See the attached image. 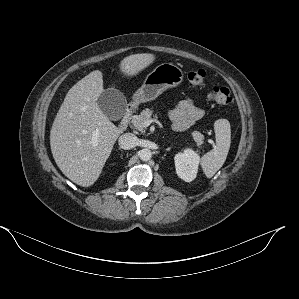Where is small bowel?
<instances>
[{"mask_svg": "<svg viewBox=\"0 0 299 299\" xmlns=\"http://www.w3.org/2000/svg\"><path fill=\"white\" fill-rule=\"evenodd\" d=\"M168 115L173 121L172 128L175 131H183L200 120L204 115V110L196 104L194 98L186 97L169 110Z\"/></svg>", "mask_w": 299, "mask_h": 299, "instance_id": "small-bowel-1", "label": "small bowel"}]
</instances>
